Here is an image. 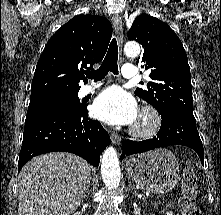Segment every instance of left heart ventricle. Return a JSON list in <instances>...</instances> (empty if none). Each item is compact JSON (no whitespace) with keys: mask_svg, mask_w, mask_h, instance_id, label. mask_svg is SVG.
Wrapping results in <instances>:
<instances>
[{"mask_svg":"<svg viewBox=\"0 0 221 215\" xmlns=\"http://www.w3.org/2000/svg\"><path fill=\"white\" fill-rule=\"evenodd\" d=\"M139 123H141L140 118L137 119V121L135 122V124H139Z\"/></svg>","mask_w":221,"mask_h":215,"instance_id":"left-heart-ventricle-1","label":"left heart ventricle"}]
</instances>
